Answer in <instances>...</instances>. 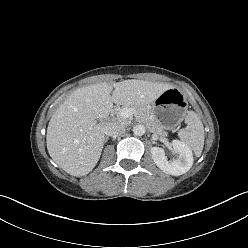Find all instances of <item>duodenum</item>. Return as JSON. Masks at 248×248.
Returning a JSON list of instances; mask_svg holds the SVG:
<instances>
[{
  "label": "duodenum",
  "mask_w": 248,
  "mask_h": 248,
  "mask_svg": "<svg viewBox=\"0 0 248 248\" xmlns=\"http://www.w3.org/2000/svg\"><path fill=\"white\" fill-rule=\"evenodd\" d=\"M106 120L109 121V120H110V117L108 116V117L106 118Z\"/></svg>",
  "instance_id": "duodenum-1"
}]
</instances>
